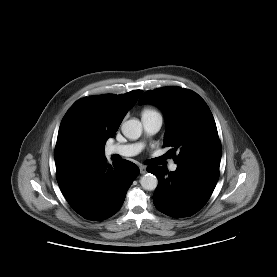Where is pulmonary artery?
<instances>
[{"mask_svg":"<svg viewBox=\"0 0 277 277\" xmlns=\"http://www.w3.org/2000/svg\"><path fill=\"white\" fill-rule=\"evenodd\" d=\"M142 124L145 132L148 135H153L159 131L162 126V117L161 115H149L142 116ZM143 149L142 143H133V144H125V145H111L107 147L106 154L113 155L118 154L120 156H134L137 155ZM171 171H175L177 169V164L171 163L169 166Z\"/></svg>","mask_w":277,"mask_h":277,"instance_id":"e3ab8cb5","label":"pulmonary artery"}]
</instances>
